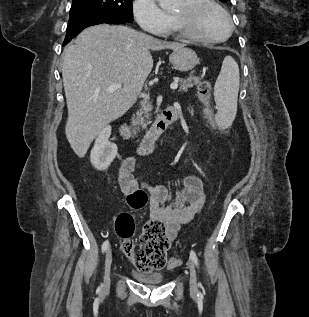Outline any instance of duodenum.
I'll return each instance as SVG.
<instances>
[{
  "instance_id": "obj_1",
  "label": "duodenum",
  "mask_w": 309,
  "mask_h": 317,
  "mask_svg": "<svg viewBox=\"0 0 309 317\" xmlns=\"http://www.w3.org/2000/svg\"><path fill=\"white\" fill-rule=\"evenodd\" d=\"M177 118L178 112L175 107L170 106L165 108L140 143L138 147L139 153L143 155L150 154L153 151L159 136L168 129V127L175 122ZM120 132L125 139H130L131 132L126 125L121 126Z\"/></svg>"
}]
</instances>
